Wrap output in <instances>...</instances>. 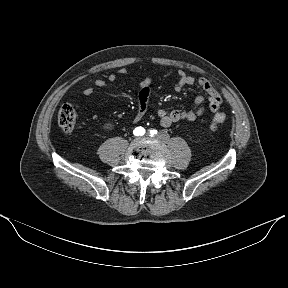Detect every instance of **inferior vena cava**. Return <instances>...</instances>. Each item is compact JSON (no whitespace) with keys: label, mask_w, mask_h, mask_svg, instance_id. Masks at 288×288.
<instances>
[{"label":"inferior vena cava","mask_w":288,"mask_h":288,"mask_svg":"<svg viewBox=\"0 0 288 288\" xmlns=\"http://www.w3.org/2000/svg\"><path fill=\"white\" fill-rule=\"evenodd\" d=\"M158 137L161 140V142H163V143H166L169 140L168 134L164 131L159 132Z\"/></svg>","instance_id":"602c4592"}]
</instances>
